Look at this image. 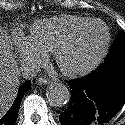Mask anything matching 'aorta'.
I'll list each match as a JSON object with an SVG mask.
<instances>
[{
    "instance_id": "aorta-1",
    "label": "aorta",
    "mask_w": 125,
    "mask_h": 125,
    "mask_svg": "<svg viewBox=\"0 0 125 125\" xmlns=\"http://www.w3.org/2000/svg\"><path fill=\"white\" fill-rule=\"evenodd\" d=\"M49 104L53 107L65 106L71 97L70 90L63 83H52L46 92Z\"/></svg>"
}]
</instances>
